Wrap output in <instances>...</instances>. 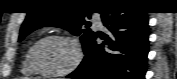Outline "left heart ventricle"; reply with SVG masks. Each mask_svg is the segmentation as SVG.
<instances>
[{
    "label": "left heart ventricle",
    "mask_w": 177,
    "mask_h": 79,
    "mask_svg": "<svg viewBox=\"0 0 177 79\" xmlns=\"http://www.w3.org/2000/svg\"><path fill=\"white\" fill-rule=\"evenodd\" d=\"M36 59L46 70L54 72L64 70L74 61L75 49L68 41L52 39L39 46Z\"/></svg>",
    "instance_id": "obj_1"
}]
</instances>
